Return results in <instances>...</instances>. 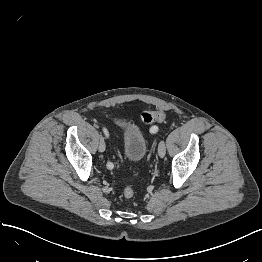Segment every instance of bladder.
<instances>
[{
	"label": "bladder",
	"instance_id": "bladder-1",
	"mask_svg": "<svg viewBox=\"0 0 262 262\" xmlns=\"http://www.w3.org/2000/svg\"><path fill=\"white\" fill-rule=\"evenodd\" d=\"M117 123L122 131V146L125 158L130 163L141 161L148 149V141L144 131L132 125L125 118H118Z\"/></svg>",
	"mask_w": 262,
	"mask_h": 262
}]
</instances>
